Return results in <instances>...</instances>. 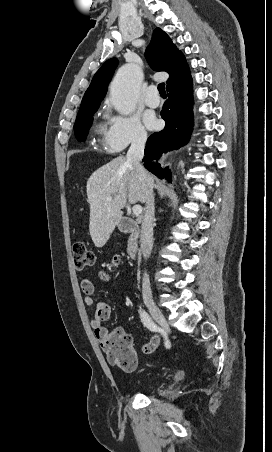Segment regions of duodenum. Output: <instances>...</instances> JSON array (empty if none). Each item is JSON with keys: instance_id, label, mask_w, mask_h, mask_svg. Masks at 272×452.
<instances>
[{"instance_id": "1", "label": "duodenum", "mask_w": 272, "mask_h": 452, "mask_svg": "<svg viewBox=\"0 0 272 452\" xmlns=\"http://www.w3.org/2000/svg\"><path fill=\"white\" fill-rule=\"evenodd\" d=\"M120 230L129 234L126 252L131 259H135L139 252V223L131 218L123 217L120 223Z\"/></svg>"}]
</instances>
